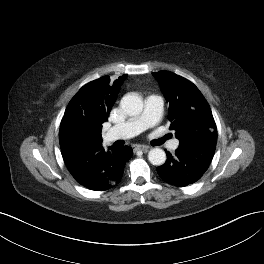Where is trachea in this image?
Returning a JSON list of instances; mask_svg holds the SVG:
<instances>
[{"mask_svg":"<svg viewBox=\"0 0 264 264\" xmlns=\"http://www.w3.org/2000/svg\"><path fill=\"white\" fill-rule=\"evenodd\" d=\"M170 137H171L170 135H166V136H164L163 138H161V139L159 140V143L162 144L165 140L169 139Z\"/></svg>","mask_w":264,"mask_h":264,"instance_id":"obj_1","label":"trachea"}]
</instances>
